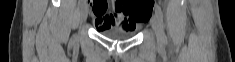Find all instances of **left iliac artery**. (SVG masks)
<instances>
[{"label": "left iliac artery", "mask_w": 235, "mask_h": 62, "mask_svg": "<svg viewBox=\"0 0 235 62\" xmlns=\"http://www.w3.org/2000/svg\"><path fill=\"white\" fill-rule=\"evenodd\" d=\"M155 15L157 16L159 24H160L163 43L166 44L167 43V37H166L164 29H163L164 28L163 12H162L161 7L159 5H157L156 8H155Z\"/></svg>", "instance_id": "obj_1"}]
</instances>
